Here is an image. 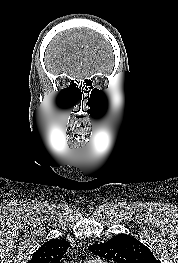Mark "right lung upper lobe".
<instances>
[{
    "label": "right lung upper lobe",
    "instance_id": "cb5924a9",
    "mask_svg": "<svg viewBox=\"0 0 178 263\" xmlns=\"http://www.w3.org/2000/svg\"><path fill=\"white\" fill-rule=\"evenodd\" d=\"M68 247L66 240L52 239L44 243L28 263H60Z\"/></svg>",
    "mask_w": 178,
    "mask_h": 263
}]
</instances>
